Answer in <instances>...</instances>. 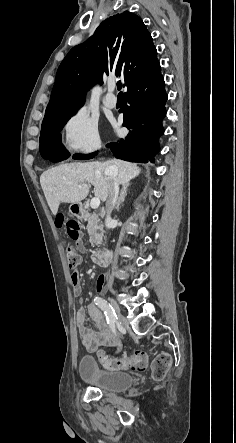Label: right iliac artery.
<instances>
[{
	"instance_id": "right-iliac-artery-1",
	"label": "right iliac artery",
	"mask_w": 236,
	"mask_h": 443,
	"mask_svg": "<svg viewBox=\"0 0 236 443\" xmlns=\"http://www.w3.org/2000/svg\"><path fill=\"white\" fill-rule=\"evenodd\" d=\"M95 304L101 308L102 311H104V314L106 316L107 322L111 327V330L113 331V333L116 335V328H115V323L117 318V315L114 311V309L112 308V306L103 298L100 297H96L94 299Z\"/></svg>"
}]
</instances>
